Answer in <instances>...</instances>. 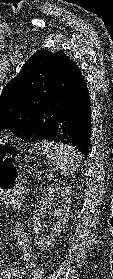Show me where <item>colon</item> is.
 I'll list each match as a JSON object with an SVG mask.
<instances>
[{"mask_svg": "<svg viewBox=\"0 0 113 279\" xmlns=\"http://www.w3.org/2000/svg\"><path fill=\"white\" fill-rule=\"evenodd\" d=\"M13 157V146H0V189L5 192H14L18 187L19 169Z\"/></svg>", "mask_w": 113, "mask_h": 279, "instance_id": "colon-1", "label": "colon"}]
</instances>
